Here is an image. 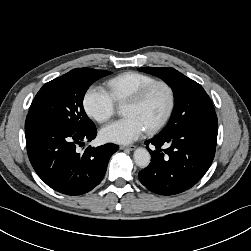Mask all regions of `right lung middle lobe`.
I'll use <instances>...</instances> for the list:
<instances>
[{"label": "right lung middle lobe", "mask_w": 251, "mask_h": 251, "mask_svg": "<svg viewBox=\"0 0 251 251\" xmlns=\"http://www.w3.org/2000/svg\"><path fill=\"white\" fill-rule=\"evenodd\" d=\"M111 72L91 68L73 69L46 83L36 94L27 118H37L76 132L95 129L83 108L89 86Z\"/></svg>", "instance_id": "right-lung-middle-lobe-1"}]
</instances>
